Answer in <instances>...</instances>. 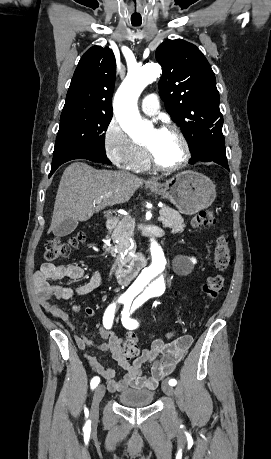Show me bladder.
<instances>
[{"label":"bladder","instance_id":"bladder-1","mask_svg":"<svg viewBox=\"0 0 271 459\" xmlns=\"http://www.w3.org/2000/svg\"><path fill=\"white\" fill-rule=\"evenodd\" d=\"M153 397V391L134 389L120 393L119 401L124 405L141 406L150 404Z\"/></svg>","mask_w":271,"mask_h":459}]
</instances>
